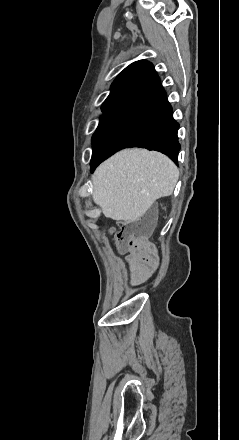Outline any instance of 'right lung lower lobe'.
I'll list each match as a JSON object with an SVG mask.
<instances>
[{
  "instance_id": "1",
  "label": "right lung lower lobe",
  "mask_w": 239,
  "mask_h": 440,
  "mask_svg": "<svg viewBox=\"0 0 239 440\" xmlns=\"http://www.w3.org/2000/svg\"><path fill=\"white\" fill-rule=\"evenodd\" d=\"M179 124L172 107L158 84L149 92L131 100L114 126L92 154L91 172L105 159L126 147H141L167 155L177 164L180 144Z\"/></svg>"
}]
</instances>
